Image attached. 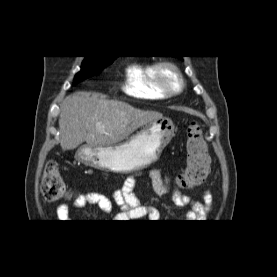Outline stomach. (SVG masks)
Returning <instances> with one entry per match:
<instances>
[{
    "instance_id": "obj_1",
    "label": "stomach",
    "mask_w": 277,
    "mask_h": 277,
    "mask_svg": "<svg viewBox=\"0 0 277 277\" xmlns=\"http://www.w3.org/2000/svg\"><path fill=\"white\" fill-rule=\"evenodd\" d=\"M174 131V124L169 118L154 120L122 143L110 146H81L75 157L100 170L130 173L155 163L173 138Z\"/></svg>"
}]
</instances>
